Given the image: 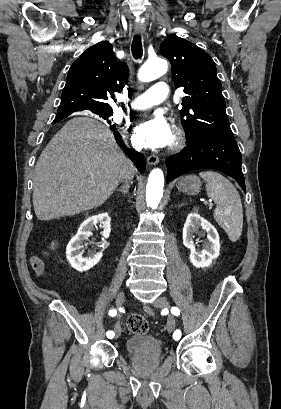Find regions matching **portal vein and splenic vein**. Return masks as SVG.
Segmentation results:
<instances>
[{"label":"portal vein and splenic vein","instance_id":"1","mask_svg":"<svg viewBox=\"0 0 281 409\" xmlns=\"http://www.w3.org/2000/svg\"><path fill=\"white\" fill-rule=\"evenodd\" d=\"M203 200H212V198L211 197H208V198L207 197H200L199 198L200 202H202ZM217 213H220V210H217Z\"/></svg>","mask_w":281,"mask_h":409}]
</instances>
